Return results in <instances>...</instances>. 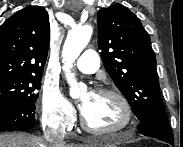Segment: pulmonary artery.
<instances>
[{
	"label": "pulmonary artery",
	"instance_id": "pulmonary-artery-1",
	"mask_svg": "<svg viewBox=\"0 0 183 147\" xmlns=\"http://www.w3.org/2000/svg\"><path fill=\"white\" fill-rule=\"evenodd\" d=\"M76 67L85 74L96 72L100 66V58L96 51L88 49L82 53L75 63Z\"/></svg>",
	"mask_w": 183,
	"mask_h": 147
}]
</instances>
